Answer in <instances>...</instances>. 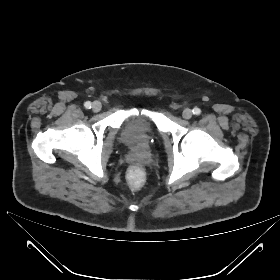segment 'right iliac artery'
Returning a JSON list of instances; mask_svg holds the SVG:
<instances>
[{
	"mask_svg": "<svg viewBox=\"0 0 280 280\" xmlns=\"http://www.w3.org/2000/svg\"><path fill=\"white\" fill-rule=\"evenodd\" d=\"M84 106H85L87 109H90V108H91V102H89V101L85 102Z\"/></svg>",
	"mask_w": 280,
	"mask_h": 280,
	"instance_id": "1",
	"label": "right iliac artery"
}]
</instances>
